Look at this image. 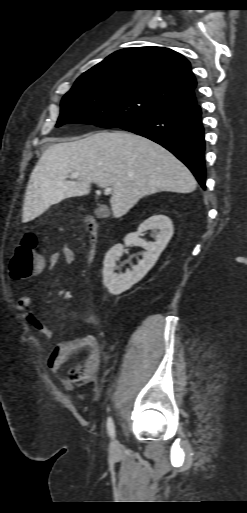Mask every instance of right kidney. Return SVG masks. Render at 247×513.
Listing matches in <instances>:
<instances>
[{
  "mask_svg": "<svg viewBox=\"0 0 247 513\" xmlns=\"http://www.w3.org/2000/svg\"><path fill=\"white\" fill-rule=\"evenodd\" d=\"M151 230V236L154 241H145L139 236ZM174 229L172 221L165 215H154L142 224H140L137 232H132L124 238L125 246L132 244L143 247L146 252L143 259L139 260L132 271L127 270L126 273L117 275L114 273L115 262L122 256L124 246L116 244L107 253L103 267V283L109 292L117 295L128 290L132 285L140 281L146 273L154 266L160 254L163 252L173 235Z\"/></svg>",
  "mask_w": 247,
  "mask_h": 513,
  "instance_id": "obj_1",
  "label": "right kidney"
}]
</instances>
